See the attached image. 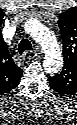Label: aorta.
I'll list each match as a JSON object with an SVG mask.
<instances>
[{"mask_svg":"<svg viewBox=\"0 0 77 125\" xmlns=\"http://www.w3.org/2000/svg\"><path fill=\"white\" fill-rule=\"evenodd\" d=\"M34 37L45 52V68L49 71H57L61 66V53L56 37L43 27H38Z\"/></svg>","mask_w":77,"mask_h":125,"instance_id":"obj_1","label":"aorta"}]
</instances>
